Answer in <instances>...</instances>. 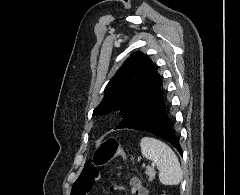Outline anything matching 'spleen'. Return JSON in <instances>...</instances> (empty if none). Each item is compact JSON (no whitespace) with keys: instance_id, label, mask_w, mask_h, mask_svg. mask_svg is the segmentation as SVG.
I'll use <instances>...</instances> for the list:
<instances>
[{"instance_id":"3e777b00","label":"spleen","mask_w":240,"mask_h":195,"mask_svg":"<svg viewBox=\"0 0 240 195\" xmlns=\"http://www.w3.org/2000/svg\"><path fill=\"white\" fill-rule=\"evenodd\" d=\"M140 147L142 155L156 163L161 183L164 185L180 183L183 177L182 169L175 151L167 143L155 137H142Z\"/></svg>"}]
</instances>
